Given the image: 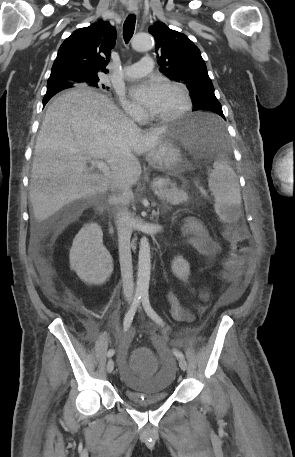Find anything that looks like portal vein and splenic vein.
<instances>
[{"label":"portal vein and splenic vein","instance_id":"1","mask_svg":"<svg viewBox=\"0 0 295 457\" xmlns=\"http://www.w3.org/2000/svg\"><path fill=\"white\" fill-rule=\"evenodd\" d=\"M87 159H90L91 158H87ZM91 163H92V166H96L98 167L103 173L104 175L106 176H109L110 175V168L109 166L104 162V161H101V160H91ZM164 182L162 181H157V182H154L152 184V187L153 188H157L158 186L162 185Z\"/></svg>","mask_w":295,"mask_h":457}]
</instances>
